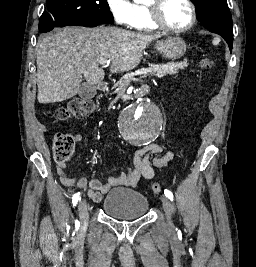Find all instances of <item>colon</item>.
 I'll return each mask as SVG.
<instances>
[{
	"label": "colon",
	"mask_w": 256,
	"mask_h": 267,
	"mask_svg": "<svg viewBox=\"0 0 256 267\" xmlns=\"http://www.w3.org/2000/svg\"><path fill=\"white\" fill-rule=\"evenodd\" d=\"M213 67V62L205 59L201 62V68L208 70ZM95 105L93 100L90 99H75L70 101L65 107L60 108L57 113V119L60 122H65L70 119H80L89 116L93 113ZM54 148L56 158L59 162H65L71 156L75 148V140L69 134H58L55 137ZM154 194H161L164 186L160 182H155L151 186Z\"/></svg>",
	"instance_id": "5ec220e1"
}]
</instances>
